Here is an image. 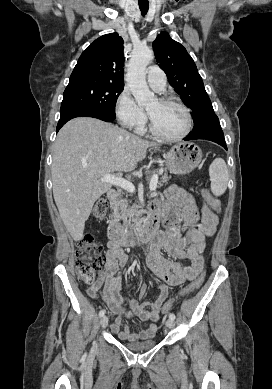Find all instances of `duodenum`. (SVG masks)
I'll return each mask as SVG.
<instances>
[{"mask_svg": "<svg viewBox=\"0 0 272 389\" xmlns=\"http://www.w3.org/2000/svg\"><path fill=\"white\" fill-rule=\"evenodd\" d=\"M107 197L111 203H115L118 198V192L110 189ZM160 221V215L151 208L148 210L144 222H133L129 229H125L117 222H112L108 229L110 241L123 246L132 247L139 242H148L153 239L157 232Z\"/></svg>", "mask_w": 272, "mask_h": 389, "instance_id": "1", "label": "duodenum"}]
</instances>
